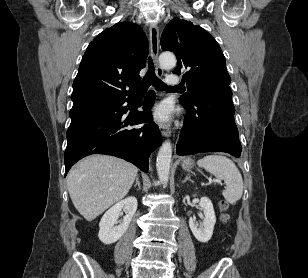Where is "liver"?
<instances>
[{"mask_svg":"<svg viewBox=\"0 0 308 278\" xmlns=\"http://www.w3.org/2000/svg\"><path fill=\"white\" fill-rule=\"evenodd\" d=\"M138 168L107 155H92L78 162L67 176V188L73 205L92 221L129 192Z\"/></svg>","mask_w":308,"mask_h":278,"instance_id":"6515ba94","label":"liver"}]
</instances>
